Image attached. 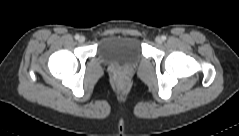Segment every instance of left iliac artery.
<instances>
[{
	"mask_svg": "<svg viewBox=\"0 0 239 136\" xmlns=\"http://www.w3.org/2000/svg\"><path fill=\"white\" fill-rule=\"evenodd\" d=\"M161 38H162L163 41L166 40V36L165 35H163Z\"/></svg>",
	"mask_w": 239,
	"mask_h": 136,
	"instance_id": "left-iliac-artery-1",
	"label": "left iliac artery"
}]
</instances>
